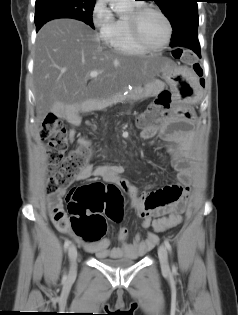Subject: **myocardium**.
Listing matches in <instances>:
<instances>
[{"instance_id": "1", "label": "myocardium", "mask_w": 238, "mask_h": 315, "mask_svg": "<svg viewBox=\"0 0 238 315\" xmlns=\"http://www.w3.org/2000/svg\"><path fill=\"white\" fill-rule=\"evenodd\" d=\"M147 12H154L158 14L164 20L167 27L166 39L158 46L149 45L141 36L140 21L143 15ZM129 29L134 42L146 51H160L164 49L170 43L173 34L172 24L167 15L159 8L147 5L136 7L129 13Z\"/></svg>"}]
</instances>
